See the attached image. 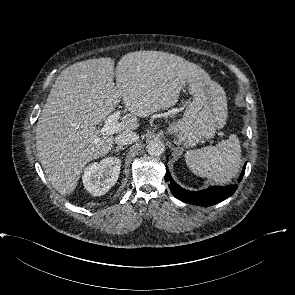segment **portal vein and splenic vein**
I'll return each mask as SVG.
<instances>
[{"label":"portal vein and splenic vein","instance_id":"1","mask_svg":"<svg viewBox=\"0 0 295 295\" xmlns=\"http://www.w3.org/2000/svg\"><path fill=\"white\" fill-rule=\"evenodd\" d=\"M120 114V111H117L107 117L104 126L100 129L102 135H111L119 130L120 125L117 121L120 118Z\"/></svg>","mask_w":295,"mask_h":295}]
</instances>
